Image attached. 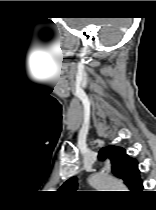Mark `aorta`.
I'll return each instance as SVG.
<instances>
[{"mask_svg":"<svg viewBox=\"0 0 156 210\" xmlns=\"http://www.w3.org/2000/svg\"><path fill=\"white\" fill-rule=\"evenodd\" d=\"M89 184L95 189L102 191H121V189L125 188L121 182L103 173L91 175L89 177Z\"/></svg>","mask_w":156,"mask_h":210,"instance_id":"1","label":"aorta"}]
</instances>
